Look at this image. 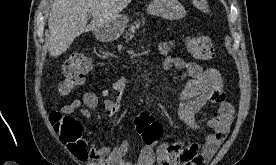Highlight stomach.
<instances>
[{
  "instance_id": "stomach-1",
  "label": "stomach",
  "mask_w": 276,
  "mask_h": 165,
  "mask_svg": "<svg viewBox=\"0 0 276 165\" xmlns=\"http://www.w3.org/2000/svg\"><path fill=\"white\" fill-rule=\"evenodd\" d=\"M147 12L168 20H180L186 15L184 6L178 0H153ZM127 23L126 15H118L105 25L96 28L94 34L101 41H113L123 33Z\"/></svg>"
}]
</instances>
